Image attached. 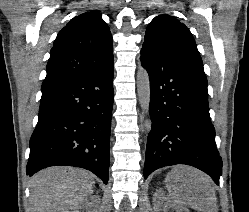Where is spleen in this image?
<instances>
[{
  "mask_svg": "<svg viewBox=\"0 0 249 212\" xmlns=\"http://www.w3.org/2000/svg\"><path fill=\"white\" fill-rule=\"evenodd\" d=\"M172 174H174V170H172L171 174H168V176H172ZM167 190H169V192H171V190H173L171 196H172V198H174V196H175V184H167Z\"/></svg>",
  "mask_w": 249,
  "mask_h": 212,
  "instance_id": "1",
  "label": "spleen"
}]
</instances>
